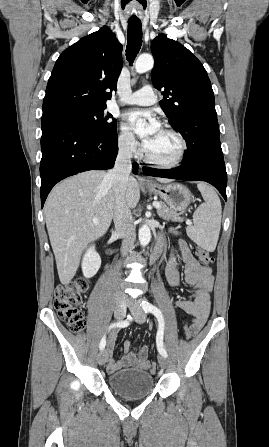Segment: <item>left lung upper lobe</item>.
<instances>
[{"mask_svg":"<svg viewBox=\"0 0 269 447\" xmlns=\"http://www.w3.org/2000/svg\"><path fill=\"white\" fill-rule=\"evenodd\" d=\"M155 65L151 79L162 90L160 105L187 144L184 161L221 151L214 93L202 63L183 45L158 35L151 43Z\"/></svg>","mask_w":269,"mask_h":447,"instance_id":"5c2ea615","label":"left lung upper lobe"}]
</instances>
